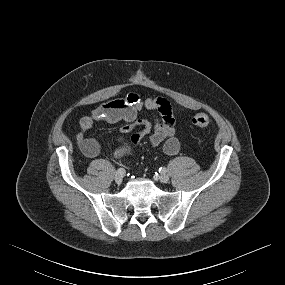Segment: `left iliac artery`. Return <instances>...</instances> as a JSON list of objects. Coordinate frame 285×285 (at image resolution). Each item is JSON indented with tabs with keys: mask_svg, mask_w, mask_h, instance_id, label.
<instances>
[{
	"mask_svg": "<svg viewBox=\"0 0 285 285\" xmlns=\"http://www.w3.org/2000/svg\"><path fill=\"white\" fill-rule=\"evenodd\" d=\"M159 172H160L161 174L166 173V172H167V169H166L165 167H161V168H159Z\"/></svg>",
	"mask_w": 285,
	"mask_h": 285,
	"instance_id": "44dca946",
	"label": "left iliac artery"
}]
</instances>
